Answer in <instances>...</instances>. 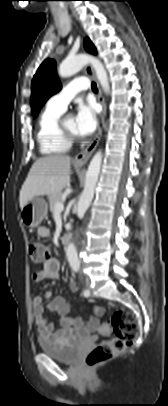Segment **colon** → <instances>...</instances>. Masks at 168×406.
<instances>
[{"mask_svg":"<svg viewBox=\"0 0 168 406\" xmlns=\"http://www.w3.org/2000/svg\"><path fill=\"white\" fill-rule=\"evenodd\" d=\"M29 258L33 265H42L49 257V248L40 242H32L28 249ZM102 334H109L111 331L114 337L96 345L86 356V363L89 366L102 364L111 358L123 353L136 339L139 331V324L135 316L125 310H117L112 318L103 323L100 327Z\"/></svg>","mask_w":168,"mask_h":406,"instance_id":"colon-1","label":"colon"}]
</instances>
